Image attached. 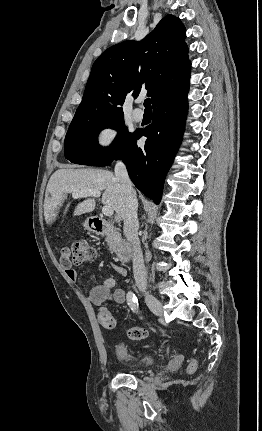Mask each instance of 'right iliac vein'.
I'll use <instances>...</instances> for the list:
<instances>
[{
    "label": "right iliac vein",
    "mask_w": 262,
    "mask_h": 431,
    "mask_svg": "<svg viewBox=\"0 0 262 431\" xmlns=\"http://www.w3.org/2000/svg\"><path fill=\"white\" fill-rule=\"evenodd\" d=\"M145 301L153 313L160 314L163 310V304L154 295L149 292L144 293Z\"/></svg>",
    "instance_id": "obj_1"
}]
</instances>
